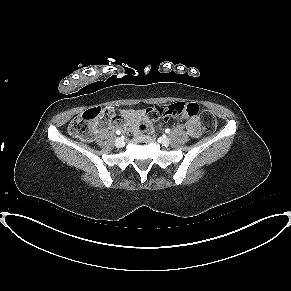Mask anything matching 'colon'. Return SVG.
Returning a JSON list of instances; mask_svg holds the SVG:
<instances>
[{
  "label": "colon",
  "instance_id": "colon-1",
  "mask_svg": "<svg viewBox=\"0 0 291 291\" xmlns=\"http://www.w3.org/2000/svg\"><path fill=\"white\" fill-rule=\"evenodd\" d=\"M199 113V108L195 104L175 103L169 106H156L149 111V120L157 121L168 119L175 116H196ZM119 117V113L112 107H92L85 112L75 117L69 124V132L71 135L83 140H92L96 129L101 120H112ZM199 120L203 130L206 133H212L217 126L214 115L203 110L199 114ZM140 132H145L149 129L147 122L140 124Z\"/></svg>",
  "mask_w": 291,
  "mask_h": 291
}]
</instances>
